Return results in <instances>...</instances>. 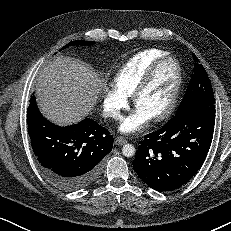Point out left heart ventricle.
Returning a JSON list of instances; mask_svg holds the SVG:
<instances>
[{
    "instance_id": "b2bd125f",
    "label": "left heart ventricle",
    "mask_w": 231,
    "mask_h": 231,
    "mask_svg": "<svg viewBox=\"0 0 231 231\" xmlns=\"http://www.w3.org/2000/svg\"><path fill=\"white\" fill-rule=\"evenodd\" d=\"M175 65L167 61L157 70L152 82L141 95L137 108L151 118L159 114L166 106L175 80Z\"/></svg>"
}]
</instances>
